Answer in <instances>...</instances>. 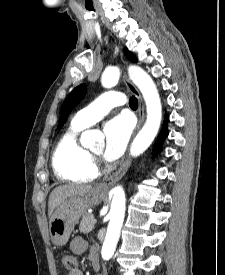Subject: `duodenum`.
I'll use <instances>...</instances> for the list:
<instances>
[{"instance_id":"1","label":"duodenum","mask_w":225,"mask_h":275,"mask_svg":"<svg viewBox=\"0 0 225 275\" xmlns=\"http://www.w3.org/2000/svg\"><path fill=\"white\" fill-rule=\"evenodd\" d=\"M91 260H92L93 269L98 270L99 265H98V262H97V257L95 255H92Z\"/></svg>"}]
</instances>
